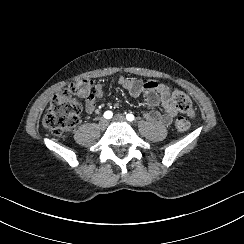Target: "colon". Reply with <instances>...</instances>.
Instances as JSON below:
<instances>
[{
  "instance_id": "obj_1",
  "label": "colon",
  "mask_w": 244,
  "mask_h": 244,
  "mask_svg": "<svg viewBox=\"0 0 244 244\" xmlns=\"http://www.w3.org/2000/svg\"><path fill=\"white\" fill-rule=\"evenodd\" d=\"M92 87V80L82 78L61 90L54 97L45 115L47 127L57 135L76 128L82 111L79 99L88 97ZM171 101L183 113L176 119L175 129L178 132H184L190 127V121L194 116L193 103L188 95L179 90L173 92Z\"/></svg>"
}]
</instances>
